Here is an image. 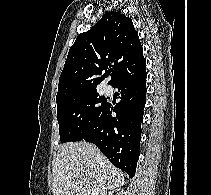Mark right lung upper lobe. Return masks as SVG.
Masks as SVG:
<instances>
[{"instance_id":"cb5924a9","label":"right lung upper lobe","mask_w":211,"mask_h":195,"mask_svg":"<svg viewBox=\"0 0 211 195\" xmlns=\"http://www.w3.org/2000/svg\"><path fill=\"white\" fill-rule=\"evenodd\" d=\"M142 52L132 20L120 12H106L71 46L59 78L57 105L96 91L109 71L108 84L113 85L122 75L146 64Z\"/></svg>"}]
</instances>
